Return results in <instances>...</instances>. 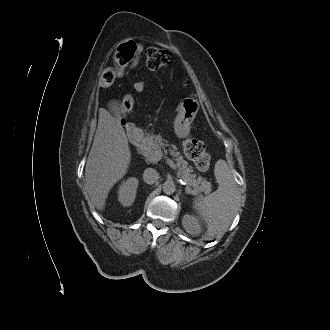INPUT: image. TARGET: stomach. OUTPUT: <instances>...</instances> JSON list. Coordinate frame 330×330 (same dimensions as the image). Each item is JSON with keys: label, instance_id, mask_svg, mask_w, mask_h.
I'll return each instance as SVG.
<instances>
[{"label": "stomach", "instance_id": "obj_1", "mask_svg": "<svg viewBox=\"0 0 330 330\" xmlns=\"http://www.w3.org/2000/svg\"><path fill=\"white\" fill-rule=\"evenodd\" d=\"M200 103L193 97L184 98L178 107V115L174 122V130L179 138H186L190 135V125L196 117Z\"/></svg>", "mask_w": 330, "mask_h": 330}]
</instances>
